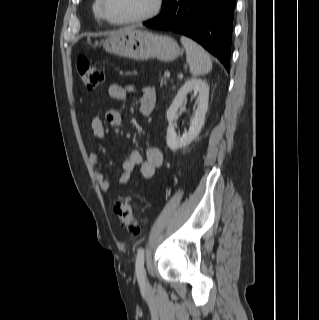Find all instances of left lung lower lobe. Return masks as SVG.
Masks as SVG:
<instances>
[{
    "mask_svg": "<svg viewBox=\"0 0 319 320\" xmlns=\"http://www.w3.org/2000/svg\"><path fill=\"white\" fill-rule=\"evenodd\" d=\"M235 0H164L163 12L144 22L200 43L229 71Z\"/></svg>",
    "mask_w": 319,
    "mask_h": 320,
    "instance_id": "0a47b994",
    "label": "left lung lower lobe"
}]
</instances>
